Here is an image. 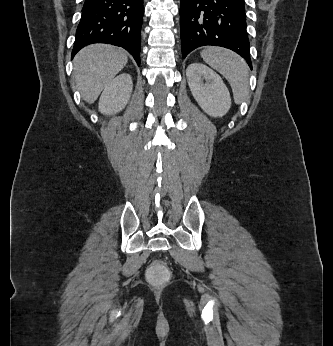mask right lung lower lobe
Wrapping results in <instances>:
<instances>
[{
    "mask_svg": "<svg viewBox=\"0 0 333 346\" xmlns=\"http://www.w3.org/2000/svg\"><path fill=\"white\" fill-rule=\"evenodd\" d=\"M143 0H85L72 58L83 47L107 43L123 47L140 65Z\"/></svg>",
    "mask_w": 333,
    "mask_h": 346,
    "instance_id": "98d812e1",
    "label": "right lung lower lobe"
}]
</instances>
